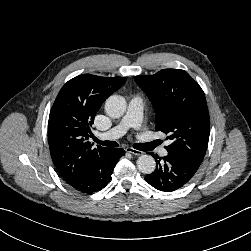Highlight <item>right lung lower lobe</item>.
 <instances>
[{
    "label": "right lung lower lobe",
    "mask_w": 251,
    "mask_h": 251,
    "mask_svg": "<svg viewBox=\"0 0 251 251\" xmlns=\"http://www.w3.org/2000/svg\"><path fill=\"white\" fill-rule=\"evenodd\" d=\"M125 154L122 148L108 149L84 162L69 181L71 187L82 193H94L108 184L118 160Z\"/></svg>",
    "instance_id": "right-lung-lower-lobe-1"
}]
</instances>
